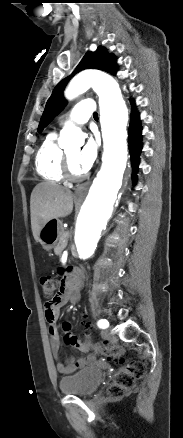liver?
<instances>
[{
    "label": "liver",
    "instance_id": "liver-1",
    "mask_svg": "<svg viewBox=\"0 0 183 438\" xmlns=\"http://www.w3.org/2000/svg\"><path fill=\"white\" fill-rule=\"evenodd\" d=\"M73 210V194L69 189L53 183H40L31 193V228L39 241L40 230L48 221L63 218Z\"/></svg>",
    "mask_w": 183,
    "mask_h": 438
}]
</instances>
